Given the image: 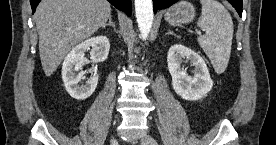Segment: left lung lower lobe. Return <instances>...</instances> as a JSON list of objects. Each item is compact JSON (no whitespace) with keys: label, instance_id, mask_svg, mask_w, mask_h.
<instances>
[{"label":"left lung lower lobe","instance_id":"obj_1","mask_svg":"<svg viewBox=\"0 0 276 145\" xmlns=\"http://www.w3.org/2000/svg\"><path fill=\"white\" fill-rule=\"evenodd\" d=\"M178 0H153L154 12L169 7ZM230 4L236 9L239 16H242V0H228Z\"/></svg>","mask_w":276,"mask_h":145}]
</instances>
